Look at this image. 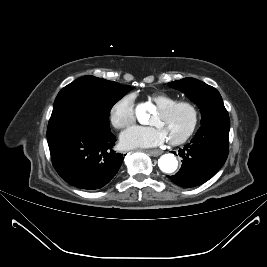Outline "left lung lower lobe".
Segmentation results:
<instances>
[{"label": "left lung lower lobe", "mask_w": 267, "mask_h": 267, "mask_svg": "<svg viewBox=\"0 0 267 267\" xmlns=\"http://www.w3.org/2000/svg\"><path fill=\"white\" fill-rule=\"evenodd\" d=\"M229 127V121L201 125L191 142L179 151L182 166L169 179L181 187H195L213 177L228 156Z\"/></svg>", "instance_id": "obj_1"}]
</instances>
